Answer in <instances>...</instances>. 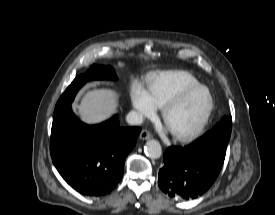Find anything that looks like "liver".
<instances>
[{
    "label": "liver",
    "instance_id": "6515ba94",
    "mask_svg": "<svg viewBox=\"0 0 275 215\" xmlns=\"http://www.w3.org/2000/svg\"><path fill=\"white\" fill-rule=\"evenodd\" d=\"M119 94L112 89H93L87 91L79 105H76L81 120L96 124L110 118L118 106Z\"/></svg>",
    "mask_w": 275,
    "mask_h": 215
}]
</instances>
